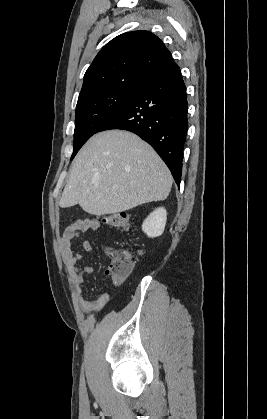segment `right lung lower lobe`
I'll return each instance as SVG.
<instances>
[{"instance_id": "right-lung-lower-lobe-1", "label": "right lung lower lobe", "mask_w": 267, "mask_h": 419, "mask_svg": "<svg viewBox=\"0 0 267 419\" xmlns=\"http://www.w3.org/2000/svg\"><path fill=\"white\" fill-rule=\"evenodd\" d=\"M187 114L186 86L179 66L173 62L142 83L99 132L122 129L137 134L156 150L179 186Z\"/></svg>"}]
</instances>
